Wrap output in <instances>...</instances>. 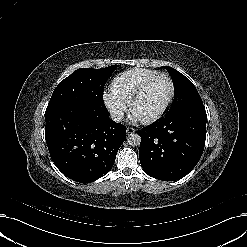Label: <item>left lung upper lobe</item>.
<instances>
[{
    "label": "left lung upper lobe",
    "instance_id": "obj_1",
    "mask_svg": "<svg viewBox=\"0 0 247 247\" xmlns=\"http://www.w3.org/2000/svg\"><path fill=\"white\" fill-rule=\"evenodd\" d=\"M174 84V100L166 115L177 112L187 105L201 100V97L193 83L172 67H167Z\"/></svg>",
    "mask_w": 247,
    "mask_h": 247
}]
</instances>
